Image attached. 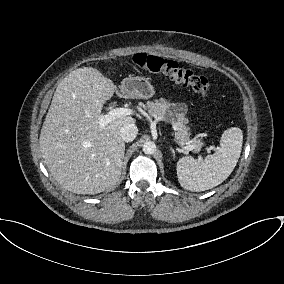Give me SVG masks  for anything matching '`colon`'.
Here are the masks:
<instances>
[{
    "mask_svg": "<svg viewBox=\"0 0 284 284\" xmlns=\"http://www.w3.org/2000/svg\"><path fill=\"white\" fill-rule=\"evenodd\" d=\"M133 61L139 68L149 72L164 73L176 83L190 87L200 95L206 96L210 91L207 78L180 67L173 60L140 53L134 56Z\"/></svg>",
    "mask_w": 284,
    "mask_h": 284,
    "instance_id": "5ec220e1",
    "label": "colon"
}]
</instances>
